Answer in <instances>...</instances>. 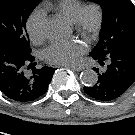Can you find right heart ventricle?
<instances>
[{"mask_svg":"<svg viewBox=\"0 0 135 135\" xmlns=\"http://www.w3.org/2000/svg\"><path fill=\"white\" fill-rule=\"evenodd\" d=\"M83 5L81 0H57L48 3L47 7L54 10L55 13L65 18L67 21L74 22Z\"/></svg>","mask_w":135,"mask_h":135,"instance_id":"obj_1","label":"right heart ventricle"}]
</instances>
